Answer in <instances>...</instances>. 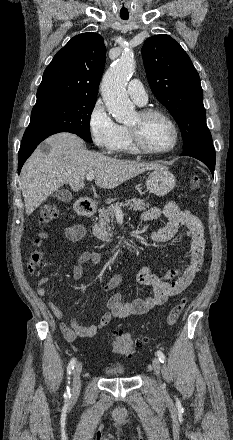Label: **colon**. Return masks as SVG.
I'll use <instances>...</instances> for the list:
<instances>
[{"label": "colon", "instance_id": "1", "mask_svg": "<svg viewBox=\"0 0 233 440\" xmlns=\"http://www.w3.org/2000/svg\"><path fill=\"white\" fill-rule=\"evenodd\" d=\"M200 177L199 176H193L190 179V187L192 189H198L200 186ZM59 214V208L54 204H47L44 205L40 210V221L42 223H48L54 219L57 218ZM41 243V240L36 238L33 241V244L35 246H38ZM42 259V254L39 251H33L30 255L29 259V268L31 271H33L35 268L38 267ZM187 304V299L183 298L181 301H179L176 305L172 307V309L169 311L167 318H166V324L171 326L173 325L181 316L185 306ZM114 341H113V351L119 355H123L126 357H130L133 355L135 351V347H143L147 343L146 338L141 339H134L131 334L128 332L118 329L114 332Z\"/></svg>", "mask_w": 233, "mask_h": 440}]
</instances>
